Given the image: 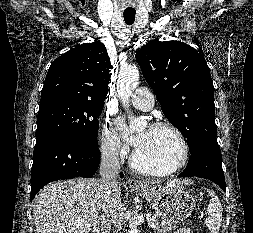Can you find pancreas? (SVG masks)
Listing matches in <instances>:
<instances>
[{"mask_svg":"<svg viewBox=\"0 0 253 233\" xmlns=\"http://www.w3.org/2000/svg\"><path fill=\"white\" fill-rule=\"evenodd\" d=\"M156 227H155V232L156 233H172V231L176 228L175 225L171 224H161L157 220H154Z\"/></svg>","mask_w":253,"mask_h":233,"instance_id":"1","label":"pancreas"}]
</instances>
